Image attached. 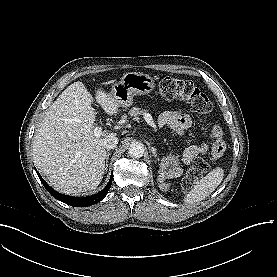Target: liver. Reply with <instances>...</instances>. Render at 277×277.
<instances>
[{
    "label": "liver",
    "instance_id": "1",
    "mask_svg": "<svg viewBox=\"0 0 277 277\" xmlns=\"http://www.w3.org/2000/svg\"><path fill=\"white\" fill-rule=\"evenodd\" d=\"M95 99L108 115L118 112L119 105L102 89ZM93 97L85 85L74 82L46 110L34 135L33 159L49 184L69 195L91 193L105 173L104 137L94 136L96 112Z\"/></svg>",
    "mask_w": 277,
    "mask_h": 277
}]
</instances>
